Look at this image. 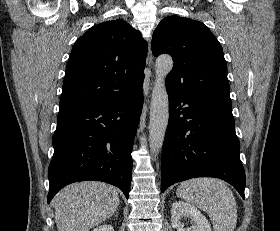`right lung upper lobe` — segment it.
I'll use <instances>...</instances> for the list:
<instances>
[{
    "label": "right lung upper lobe",
    "mask_w": 280,
    "mask_h": 231,
    "mask_svg": "<svg viewBox=\"0 0 280 231\" xmlns=\"http://www.w3.org/2000/svg\"><path fill=\"white\" fill-rule=\"evenodd\" d=\"M147 45L122 19L90 28L74 44L58 116L133 95L143 86Z\"/></svg>",
    "instance_id": "right-lung-upper-lobe-1"
}]
</instances>
